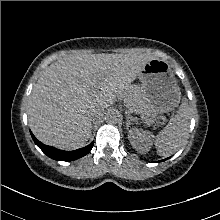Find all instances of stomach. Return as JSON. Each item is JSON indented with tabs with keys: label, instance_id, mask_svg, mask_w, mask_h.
<instances>
[{
	"label": "stomach",
	"instance_id": "obj_1",
	"mask_svg": "<svg viewBox=\"0 0 220 220\" xmlns=\"http://www.w3.org/2000/svg\"><path fill=\"white\" fill-rule=\"evenodd\" d=\"M140 99L134 111L141 120L152 124L163 113L173 110L181 99V91L169 64L161 59L150 60L138 75Z\"/></svg>",
	"mask_w": 220,
	"mask_h": 220
}]
</instances>
